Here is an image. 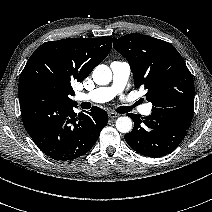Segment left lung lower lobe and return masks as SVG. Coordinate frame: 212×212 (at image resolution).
Segmentation results:
<instances>
[{
  "label": "left lung lower lobe",
  "instance_id": "0a47b994",
  "mask_svg": "<svg viewBox=\"0 0 212 212\" xmlns=\"http://www.w3.org/2000/svg\"><path fill=\"white\" fill-rule=\"evenodd\" d=\"M193 108L175 106L153 108L150 116L141 117L133 113L128 116L134 128L125 135L128 145L141 155L157 158L175 150L190 127Z\"/></svg>",
  "mask_w": 212,
  "mask_h": 212
}]
</instances>
